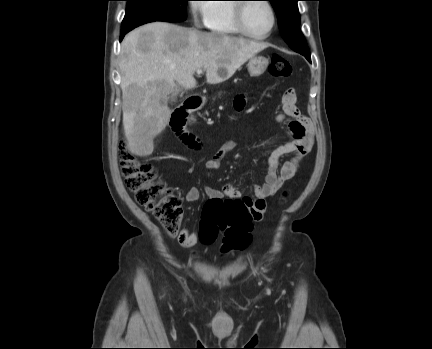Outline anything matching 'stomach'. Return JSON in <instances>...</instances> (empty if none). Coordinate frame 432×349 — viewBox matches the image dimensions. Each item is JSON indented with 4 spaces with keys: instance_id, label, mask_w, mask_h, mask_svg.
Wrapping results in <instances>:
<instances>
[{
    "instance_id": "obj_1",
    "label": "stomach",
    "mask_w": 432,
    "mask_h": 349,
    "mask_svg": "<svg viewBox=\"0 0 432 349\" xmlns=\"http://www.w3.org/2000/svg\"><path fill=\"white\" fill-rule=\"evenodd\" d=\"M269 60L264 56H253L249 59L247 67L251 76H259L265 72Z\"/></svg>"
}]
</instances>
